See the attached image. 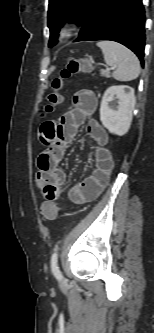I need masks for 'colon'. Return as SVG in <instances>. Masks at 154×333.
Masks as SVG:
<instances>
[{"instance_id":"5ec220e1","label":"colon","mask_w":154,"mask_h":333,"mask_svg":"<svg viewBox=\"0 0 154 333\" xmlns=\"http://www.w3.org/2000/svg\"><path fill=\"white\" fill-rule=\"evenodd\" d=\"M90 69L91 64L87 59H71L61 71L60 76L52 81V90L46 97L44 112L52 113L62 103L63 96L61 90L65 79L82 72H87ZM40 213L44 219L54 220L60 213V208L54 202L46 200L40 206Z\"/></svg>"}]
</instances>
